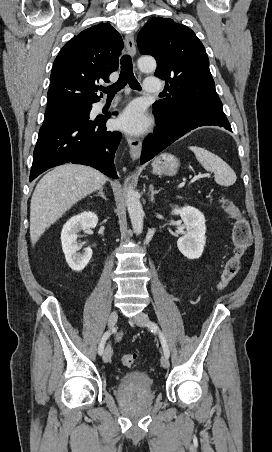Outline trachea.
Instances as JSON below:
<instances>
[{
	"label": "trachea",
	"mask_w": 272,
	"mask_h": 452,
	"mask_svg": "<svg viewBox=\"0 0 272 452\" xmlns=\"http://www.w3.org/2000/svg\"><path fill=\"white\" fill-rule=\"evenodd\" d=\"M134 90H141V86L136 80L133 73L132 59L129 55H124L121 58V72L119 79L114 84L102 87L100 90L107 94L108 97H113L118 91L125 87L126 84Z\"/></svg>",
	"instance_id": "obj_1"
}]
</instances>
